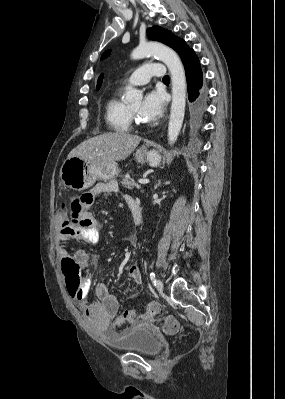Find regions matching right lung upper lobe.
Listing matches in <instances>:
<instances>
[{
  "instance_id": "cb5924a9",
  "label": "right lung upper lobe",
  "mask_w": 285,
  "mask_h": 399,
  "mask_svg": "<svg viewBox=\"0 0 285 399\" xmlns=\"http://www.w3.org/2000/svg\"><path fill=\"white\" fill-rule=\"evenodd\" d=\"M102 79H103V75H101V76L99 77V79H98V82H97V89L100 88L101 83H102Z\"/></svg>"
}]
</instances>
